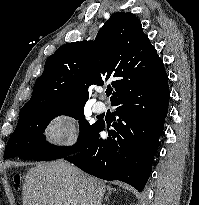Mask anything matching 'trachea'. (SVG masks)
Instances as JSON below:
<instances>
[{
    "mask_svg": "<svg viewBox=\"0 0 199 205\" xmlns=\"http://www.w3.org/2000/svg\"><path fill=\"white\" fill-rule=\"evenodd\" d=\"M111 93H112V90H110V89H107V90H106V95H107V96H110Z\"/></svg>",
    "mask_w": 199,
    "mask_h": 205,
    "instance_id": "obj_1",
    "label": "trachea"
}]
</instances>
